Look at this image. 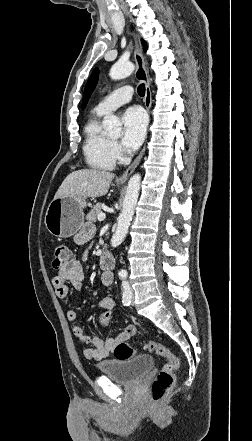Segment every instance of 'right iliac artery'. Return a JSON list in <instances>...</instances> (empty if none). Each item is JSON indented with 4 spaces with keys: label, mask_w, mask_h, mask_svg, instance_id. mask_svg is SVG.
I'll list each match as a JSON object with an SVG mask.
<instances>
[{
    "label": "right iliac artery",
    "mask_w": 252,
    "mask_h": 441,
    "mask_svg": "<svg viewBox=\"0 0 252 441\" xmlns=\"http://www.w3.org/2000/svg\"><path fill=\"white\" fill-rule=\"evenodd\" d=\"M122 287H123V296H122L123 305L129 306L131 303L132 293L130 291L128 282L123 281Z\"/></svg>",
    "instance_id": "obj_1"
}]
</instances>
